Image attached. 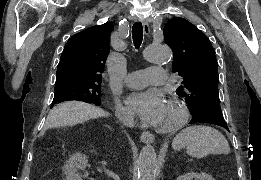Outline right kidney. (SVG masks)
Segmentation results:
<instances>
[{
  "mask_svg": "<svg viewBox=\"0 0 261 180\" xmlns=\"http://www.w3.org/2000/svg\"><path fill=\"white\" fill-rule=\"evenodd\" d=\"M86 166L87 158L84 154H75V156H71L69 162H67L63 168L67 180H70V178L78 180V174H76L77 170H85Z\"/></svg>",
  "mask_w": 261,
  "mask_h": 180,
  "instance_id": "ca27d5eb",
  "label": "right kidney"
}]
</instances>
